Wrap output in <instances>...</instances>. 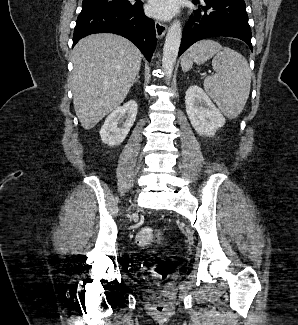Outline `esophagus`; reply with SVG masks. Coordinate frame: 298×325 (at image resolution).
Wrapping results in <instances>:
<instances>
[{
	"label": "esophagus",
	"mask_w": 298,
	"mask_h": 325,
	"mask_svg": "<svg viewBox=\"0 0 298 325\" xmlns=\"http://www.w3.org/2000/svg\"><path fill=\"white\" fill-rule=\"evenodd\" d=\"M154 23L157 37L162 38L167 31V26L165 25V23H162L159 20H155Z\"/></svg>",
	"instance_id": "obj_1"
}]
</instances>
